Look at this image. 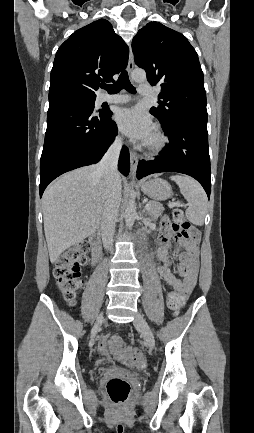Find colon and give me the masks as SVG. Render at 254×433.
Masks as SVG:
<instances>
[{
    "label": "colon",
    "instance_id": "5ec220e1",
    "mask_svg": "<svg viewBox=\"0 0 254 433\" xmlns=\"http://www.w3.org/2000/svg\"><path fill=\"white\" fill-rule=\"evenodd\" d=\"M171 221L175 229L196 236L198 233L185 218L181 209H175L171 216ZM87 247L69 248L58 259L54 269V277L57 281L58 288L67 303L73 305L76 295L83 285L81 264L84 261ZM183 301L177 292H171L167 298L168 308L178 312L183 306ZM111 344L117 349L121 347V341L118 337L111 339ZM121 360L128 366L141 368L145 365L144 357L140 352L127 351L121 356ZM131 392L130 384L120 378H112L106 384V393L113 403H122L127 400Z\"/></svg>",
    "mask_w": 254,
    "mask_h": 433
}]
</instances>
